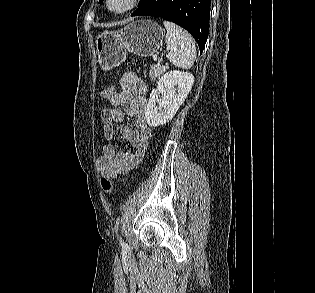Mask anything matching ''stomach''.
Returning a JSON list of instances; mask_svg holds the SVG:
<instances>
[{
  "mask_svg": "<svg viewBox=\"0 0 315 293\" xmlns=\"http://www.w3.org/2000/svg\"><path fill=\"white\" fill-rule=\"evenodd\" d=\"M164 30L155 22L139 20L118 31H103L95 38L97 63L104 71L119 66L127 52L140 57L156 54L163 43Z\"/></svg>",
  "mask_w": 315,
  "mask_h": 293,
  "instance_id": "stomach-1",
  "label": "stomach"
}]
</instances>
